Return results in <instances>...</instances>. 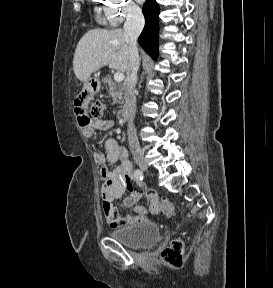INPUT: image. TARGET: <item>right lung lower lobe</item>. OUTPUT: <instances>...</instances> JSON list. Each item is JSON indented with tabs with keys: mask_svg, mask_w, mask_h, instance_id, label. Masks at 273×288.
<instances>
[{
	"mask_svg": "<svg viewBox=\"0 0 273 288\" xmlns=\"http://www.w3.org/2000/svg\"><path fill=\"white\" fill-rule=\"evenodd\" d=\"M142 11L145 17V27L138 38V42L156 60L158 56L157 33L160 8L155 0H146Z\"/></svg>",
	"mask_w": 273,
	"mask_h": 288,
	"instance_id": "1",
	"label": "right lung lower lobe"
}]
</instances>
